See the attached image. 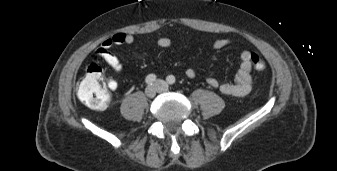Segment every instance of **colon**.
<instances>
[{"instance_id": "obj_1", "label": "colon", "mask_w": 337, "mask_h": 171, "mask_svg": "<svg viewBox=\"0 0 337 171\" xmlns=\"http://www.w3.org/2000/svg\"><path fill=\"white\" fill-rule=\"evenodd\" d=\"M251 62L256 71H263L265 62L255 53L251 54ZM79 100L87 107L101 110L110 103V93L104 79L103 70L96 61L90 62L77 88Z\"/></svg>"}]
</instances>
